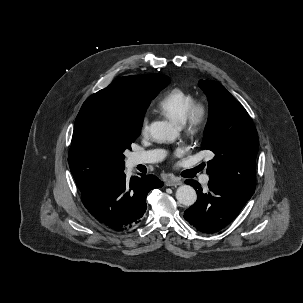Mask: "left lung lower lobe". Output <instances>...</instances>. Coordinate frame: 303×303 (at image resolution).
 I'll use <instances>...</instances> for the list:
<instances>
[{
	"label": "left lung lower lobe",
	"mask_w": 303,
	"mask_h": 303,
	"mask_svg": "<svg viewBox=\"0 0 303 303\" xmlns=\"http://www.w3.org/2000/svg\"><path fill=\"white\" fill-rule=\"evenodd\" d=\"M185 183L197 191L196 203L184 212V218L198 231L213 233L223 229L240 213L245 203L251 198L228 182L210 175L209 190L203 193L195 180Z\"/></svg>",
	"instance_id": "1"
}]
</instances>
